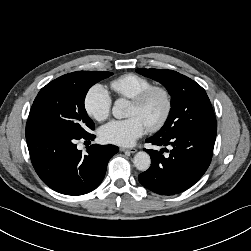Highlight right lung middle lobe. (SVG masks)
Here are the masks:
<instances>
[{"label":"right lung middle lobe","mask_w":251,"mask_h":251,"mask_svg":"<svg viewBox=\"0 0 251 251\" xmlns=\"http://www.w3.org/2000/svg\"><path fill=\"white\" fill-rule=\"evenodd\" d=\"M113 75L104 71H80L73 77H59L44 86L35 98L28 124L85 137L95 124L87 115L84 99L90 87Z\"/></svg>","instance_id":"right-lung-middle-lobe-1"}]
</instances>
